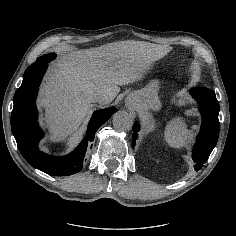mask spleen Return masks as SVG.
<instances>
[{"mask_svg":"<svg viewBox=\"0 0 236 236\" xmlns=\"http://www.w3.org/2000/svg\"><path fill=\"white\" fill-rule=\"evenodd\" d=\"M165 137L169 144L177 147L184 145L188 140L187 136L185 135L182 123L179 121H175L167 126Z\"/></svg>","mask_w":236,"mask_h":236,"instance_id":"1","label":"spleen"}]
</instances>
